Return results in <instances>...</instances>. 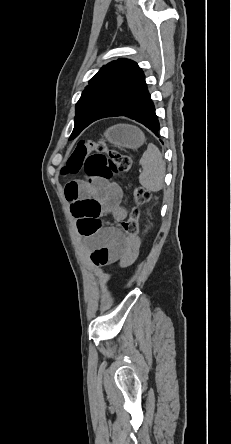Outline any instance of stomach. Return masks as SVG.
<instances>
[{
  "instance_id": "obj_1",
  "label": "stomach",
  "mask_w": 231,
  "mask_h": 444,
  "mask_svg": "<svg viewBox=\"0 0 231 444\" xmlns=\"http://www.w3.org/2000/svg\"><path fill=\"white\" fill-rule=\"evenodd\" d=\"M105 138L119 148L137 149L145 142L143 132L131 125L119 124L110 127L104 134Z\"/></svg>"
}]
</instances>
